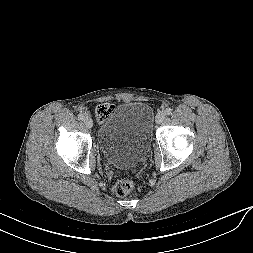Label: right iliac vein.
<instances>
[{
    "label": "right iliac vein",
    "mask_w": 253,
    "mask_h": 253,
    "mask_svg": "<svg viewBox=\"0 0 253 253\" xmlns=\"http://www.w3.org/2000/svg\"><path fill=\"white\" fill-rule=\"evenodd\" d=\"M84 124L86 125L87 128H92L93 120L90 117H86L84 119Z\"/></svg>",
    "instance_id": "obj_1"
}]
</instances>
